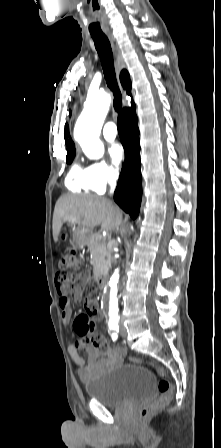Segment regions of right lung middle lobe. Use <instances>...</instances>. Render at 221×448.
I'll list each match as a JSON object with an SVG mask.
<instances>
[{
	"instance_id": "right-lung-middle-lobe-1",
	"label": "right lung middle lobe",
	"mask_w": 221,
	"mask_h": 448,
	"mask_svg": "<svg viewBox=\"0 0 221 448\" xmlns=\"http://www.w3.org/2000/svg\"><path fill=\"white\" fill-rule=\"evenodd\" d=\"M74 156H75V153L67 154L66 162L70 164L73 161Z\"/></svg>"
}]
</instances>
